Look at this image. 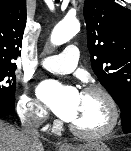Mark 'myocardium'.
<instances>
[{"label":"myocardium","instance_id":"1","mask_svg":"<svg viewBox=\"0 0 131 151\" xmlns=\"http://www.w3.org/2000/svg\"><path fill=\"white\" fill-rule=\"evenodd\" d=\"M82 94H94L103 98L109 109V122L104 128L96 131L81 130L76 126L69 124L70 131L77 137L83 139H100L112 133L118 124L120 114L117 102L111 93L101 86L92 85L86 87Z\"/></svg>","mask_w":131,"mask_h":151}]
</instances>
